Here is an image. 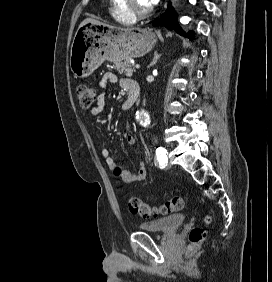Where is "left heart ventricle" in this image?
<instances>
[{
	"mask_svg": "<svg viewBox=\"0 0 272 282\" xmlns=\"http://www.w3.org/2000/svg\"><path fill=\"white\" fill-rule=\"evenodd\" d=\"M135 5L139 10H147L151 8V5L148 3L147 0H134Z\"/></svg>",
	"mask_w": 272,
	"mask_h": 282,
	"instance_id": "1",
	"label": "left heart ventricle"
}]
</instances>
